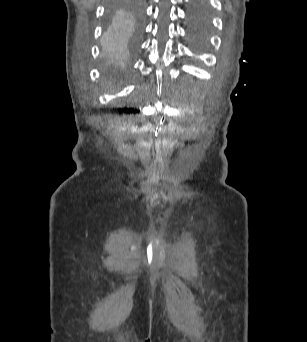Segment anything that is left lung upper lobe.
Instances as JSON below:
<instances>
[{"label":"left lung upper lobe","instance_id":"left-lung-upper-lobe-1","mask_svg":"<svg viewBox=\"0 0 307 342\" xmlns=\"http://www.w3.org/2000/svg\"><path fill=\"white\" fill-rule=\"evenodd\" d=\"M189 20L192 25L193 37L198 41L205 40L206 30L209 25V17L206 6L202 2L194 3L189 13Z\"/></svg>","mask_w":307,"mask_h":342}]
</instances>
